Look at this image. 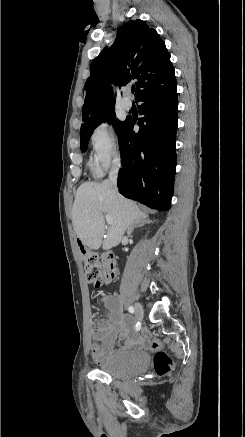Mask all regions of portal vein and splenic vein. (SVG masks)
Listing matches in <instances>:
<instances>
[{"label": "portal vein and splenic vein", "instance_id": "18ae733b", "mask_svg": "<svg viewBox=\"0 0 245 437\" xmlns=\"http://www.w3.org/2000/svg\"><path fill=\"white\" fill-rule=\"evenodd\" d=\"M105 218H106L107 224H112V219L109 215H106Z\"/></svg>", "mask_w": 245, "mask_h": 437}]
</instances>
